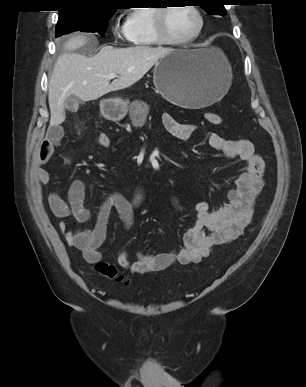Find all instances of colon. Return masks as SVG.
<instances>
[{
    "mask_svg": "<svg viewBox=\"0 0 306 387\" xmlns=\"http://www.w3.org/2000/svg\"><path fill=\"white\" fill-rule=\"evenodd\" d=\"M206 119L213 125H220L223 122L222 117L214 112H208L206 114ZM96 142L100 147L103 148H107L111 144L110 137L106 133H99L96 137ZM95 270L116 282L122 283L124 285H128L129 283L125 277L118 273L117 268L111 263L98 261L95 263Z\"/></svg>",
    "mask_w": 306,
    "mask_h": 387,
    "instance_id": "colon-1",
    "label": "colon"
}]
</instances>
